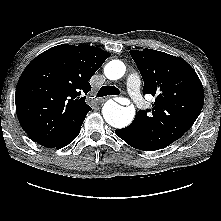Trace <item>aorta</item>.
<instances>
[{
  "mask_svg": "<svg viewBox=\"0 0 221 221\" xmlns=\"http://www.w3.org/2000/svg\"><path fill=\"white\" fill-rule=\"evenodd\" d=\"M126 67L120 60H112L104 67V74L110 80L120 79L125 74ZM105 121L115 128H124L128 126L134 116L135 109L133 107H123L113 100H108L102 109Z\"/></svg>",
  "mask_w": 221,
  "mask_h": 221,
  "instance_id": "obj_1",
  "label": "aorta"
}]
</instances>
